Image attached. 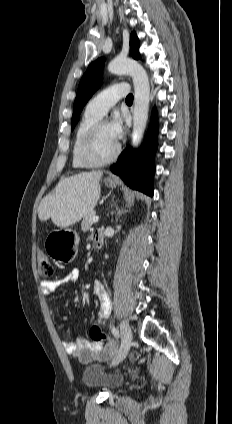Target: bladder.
<instances>
[{
    "label": "bladder",
    "mask_w": 232,
    "mask_h": 424,
    "mask_svg": "<svg viewBox=\"0 0 232 424\" xmlns=\"http://www.w3.org/2000/svg\"><path fill=\"white\" fill-rule=\"evenodd\" d=\"M82 380L89 387L112 390L121 385L123 376L110 372L108 367L103 364H92L84 368Z\"/></svg>",
    "instance_id": "1"
}]
</instances>
